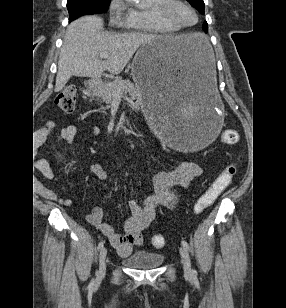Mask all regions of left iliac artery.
I'll return each instance as SVG.
<instances>
[{
	"mask_svg": "<svg viewBox=\"0 0 286 308\" xmlns=\"http://www.w3.org/2000/svg\"><path fill=\"white\" fill-rule=\"evenodd\" d=\"M182 245L186 248V249H188V250H190V246H189V244L185 241V240H182ZM194 273H196V271H194Z\"/></svg>",
	"mask_w": 286,
	"mask_h": 308,
	"instance_id": "44dca946",
	"label": "left iliac artery"
}]
</instances>
